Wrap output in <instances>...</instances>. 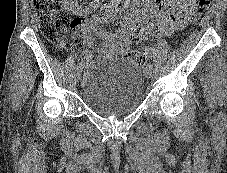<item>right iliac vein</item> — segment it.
Listing matches in <instances>:
<instances>
[{"label": "right iliac vein", "mask_w": 227, "mask_h": 173, "mask_svg": "<svg viewBox=\"0 0 227 173\" xmlns=\"http://www.w3.org/2000/svg\"><path fill=\"white\" fill-rule=\"evenodd\" d=\"M82 78V69H79L77 72V81L79 82Z\"/></svg>", "instance_id": "63e3f726"}]
</instances>
